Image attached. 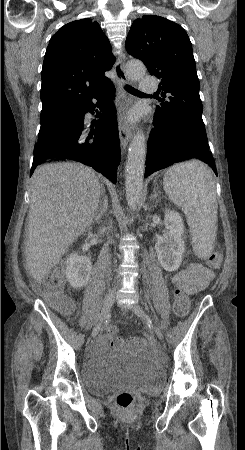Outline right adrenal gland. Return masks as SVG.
Masks as SVG:
<instances>
[{"label":"right adrenal gland","mask_w":245,"mask_h":450,"mask_svg":"<svg viewBox=\"0 0 245 450\" xmlns=\"http://www.w3.org/2000/svg\"><path fill=\"white\" fill-rule=\"evenodd\" d=\"M101 196H102V199L99 202V204H100L99 212L97 213V215L95 217V220L97 222L101 220L103 215L107 212V208H108V198L105 195L104 191H102Z\"/></svg>","instance_id":"1"}]
</instances>
